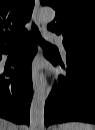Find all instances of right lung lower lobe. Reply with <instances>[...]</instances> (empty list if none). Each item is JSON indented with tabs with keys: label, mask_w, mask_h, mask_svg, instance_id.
<instances>
[{
	"label": "right lung lower lobe",
	"mask_w": 95,
	"mask_h": 130,
	"mask_svg": "<svg viewBox=\"0 0 95 130\" xmlns=\"http://www.w3.org/2000/svg\"><path fill=\"white\" fill-rule=\"evenodd\" d=\"M10 49L11 47L0 50V58L2 53H8ZM36 51L37 46L31 35H25L12 62L15 70H0V116L15 123L29 124L33 94L30 64Z\"/></svg>",
	"instance_id": "1"
}]
</instances>
